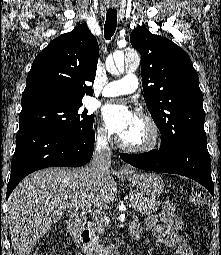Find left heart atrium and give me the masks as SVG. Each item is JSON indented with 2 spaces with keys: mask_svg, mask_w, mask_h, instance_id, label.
<instances>
[{
  "mask_svg": "<svg viewBox=\"0 0 221 255\" xmlns=\"http://www.w3.org/2000/svg\"><path fill=\"white\" fill-rule=\"evenodd\" d=\"M133 112L122 103H109L102 110L104 124L111 134L122 135L134 120Z\"/></svg>",
  "mask_w": 221,
  "mask_h": 255,
  "instance_id": "left-heart-atrium-1",
  "label": "left heart atrium"
}]
</instances>
